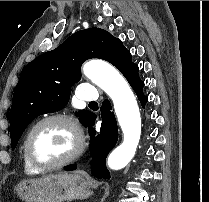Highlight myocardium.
<instances>
[{
	"label": "myocardium",
	"instance_id": "f54148a6",
	"mask_svg": "<svg viewBox=\"0 0 209 202\" xmlns=\"http://www.w3.org/2000/svg\"><path fill=\"white\" fill-rule=\"evenodd\" d=\"M51 121H58V122L65 124L67 127H69L75 136V145L72 151L69 153V155L62 158L61 160L51 163V164H42V163L37 162L33 158L31 154V150H30V141H31V137L33 133L38 127H40L44 123L51 122ZM84 147H85L84 133L80 124L77 122V120L74 119L72 116H69L64 113H53V114H48V115L41 117L30 127L24 139L23 152L28 163L33 168H35L38 171H51V170H57V169L63 168L67 166L68 164L74 162L82 154Z\"/></svg>",
	"mask_w": 209,
	"mask_h": 202
}]
</instances>
